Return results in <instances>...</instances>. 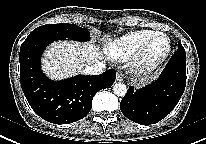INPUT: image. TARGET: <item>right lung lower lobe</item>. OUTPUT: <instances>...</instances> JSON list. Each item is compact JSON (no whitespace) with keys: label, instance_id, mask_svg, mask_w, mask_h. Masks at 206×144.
Listing matches in <instances>:
<instances>
[{"label":"right lung lower lobe","instance_id":"obj_1","mask_svg":"<svg viewBox=\"0 0 206 144\" xmlns=\"http://www.w3.org/2000/svg\"><path fill=\"white\" fill-rule=\"evenodd\" d=\"M44 35H29L20 48V81L25 97L42 119L55 124H70L91 110L94 95L115 82L116 72L98 76L80 75L62 81L49 80L41 71V55L51 42Z\"/></svg>","mask_w":206,"mask_h":144}]
</instances>
